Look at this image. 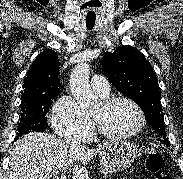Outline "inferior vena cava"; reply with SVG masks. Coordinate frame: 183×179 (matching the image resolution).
<instances>
[{
  "label": "inferior vena cava",
  "mask_w": 183,
  "mask_h": 179,
  "mask_svg": "<svg viewBox=\"0 0 183 179\" xmlns=\"http://www.w3.org/2000/svg\"><path fill=\"white\" fill-rule=\"evenodd\" d=\"M66 144H67V146L70 148V149H72V150H76V149H79V148H81L82 146H81V143L80 142H78L76 139H74V138H68V139H66Z\"/></svg>",
  "instance_id": "obj_1"
}]
</instances>
